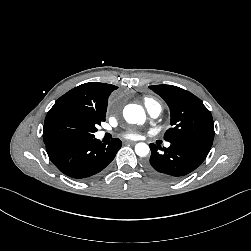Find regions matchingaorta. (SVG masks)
<instances>
[{
	"mask_svg": "<svg viewBox=\"0 0 251 251\" xmlns=\"http://www.w3.org/2000/svg\"><path fill=\"white\" fill-rule=\"evenodd\" d=\"M123 116L128 123L143 124L146 120V115L143 108L137 104H129L124 108ZM149 146L146 143H137L135 152L140 157H145L149 153Z\"/></svg>",
	"mask_w": 251,
	"mask_h": 251,
	"instance_id": "762f6f07",
	"label": "aorta"
}]
</instances>
